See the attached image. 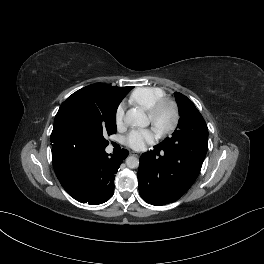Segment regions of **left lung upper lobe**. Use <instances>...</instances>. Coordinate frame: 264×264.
<instances>
[{"label":"left lung upper lobe","mask_w":264,"mask_h":264,"mask_svg":"<svg viewBox=\"0 0 264 264\" xmlns=\"http://www.w3.org/2000/svg\"><path fill=\"white\" fill-rule=\"evenodd\" d=\"M180 119L173 136L166 138L159 146L163 148L182 147L184 144L208 139V128L194 103L181 93H175Z\"/></svg>","instance_id":"left-lung-upper-lobe-1"}]
</instances>
